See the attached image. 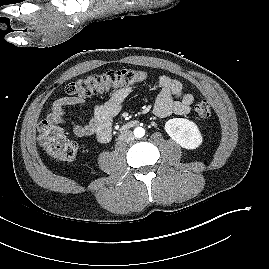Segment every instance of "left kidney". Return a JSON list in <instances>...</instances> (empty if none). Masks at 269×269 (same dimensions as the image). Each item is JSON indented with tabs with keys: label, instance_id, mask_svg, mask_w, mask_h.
I'll use <instances>...</instances> for the list:
<instances>
[{
	"label": "left kidney",
	"instance_id": "obj_1",
	"mask_svg": "<svg viewBox=\"0 0 269 269\" xmlns=\"http://www.w3.org/2000/svg\"><path fill=\"white\" fill-rule=\"evenodd\" d=\"M167 134L181 147L196 149L202 144L203 138L197 125L188 119L173 118L165 123Z\"/></svg>",
	"mask_w": 269,
	"mask_h": 269
}]
</instances>
